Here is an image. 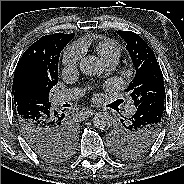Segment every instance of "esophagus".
<instances>
[{
  "label": "esophagus",
  "mask_w": 184,
  "mask_h": 184,
  "mask_svg": "<svg viewBox=\"0 0 184 184\" xmlns=\"http://www.w3.org/2000/svg\"><path fill=\"white\" fill-rule=\"evenodd\" d=\"M94 113H95V110H93V109H87V110L82 112V114L85 117H90V116L94 115Z\"/></svg>",
  "instance_id": "obj_1"
}]
</instances>
